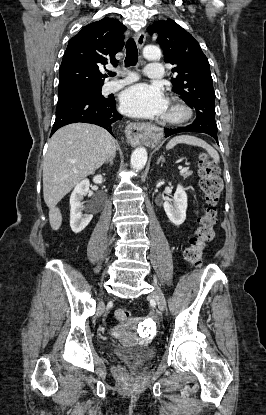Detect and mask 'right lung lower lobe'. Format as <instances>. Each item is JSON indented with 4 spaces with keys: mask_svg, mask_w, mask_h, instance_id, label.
<instances>
[{
    "mask_svg": "<svg viewBox=\"0 0 266 415\" xmlns=\"http://www.w3.org/2000/svg\"><path fill=\"white\" fill-rule=\"evenodd\" d=\"M122 116L116 110L114 98L97 99H63L58 100L56 119L51 135L60 127L75 122L99 125L109 131Z\"/></svg>",
    "mask_w": 266,
    "mask_h": 415,
    "instance_id": "obj_1",
    "label": "right lung lower lobe"
}]
</instances>
